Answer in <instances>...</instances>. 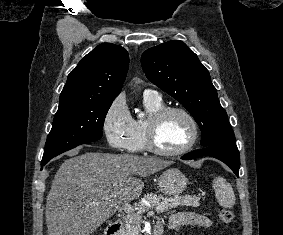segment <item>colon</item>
Listing matches in <instances>:
<instances>
[{
  "label": "colon",
  "instance_id": "colon-1",
  "mask_svg": "<svg viewBox=\"0 0 283 235\" xmlns=\"http://www.w3.org/2000/svg\"><path fill=\"white\" fill-rule=\"evenodd\" d=\"M218 217L222 223L228 224L233 220V213L229 209L220 208L218 211Z\"/></svg>",
  "mask_w": 283,
  "mask_h": 235
}]
</instances>
